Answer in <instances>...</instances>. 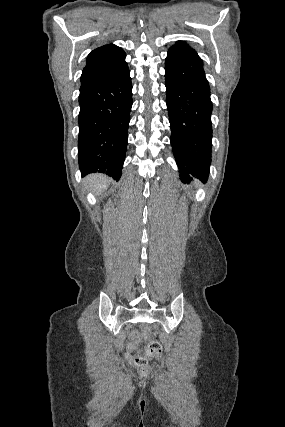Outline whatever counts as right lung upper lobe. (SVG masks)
Returning <instances> with one entry per match:
<instances>
[{
    "instance_id": "1",
    "label": "right lung upper lobe",
    "mask_w": 285,
    "mask_h": 427,
    "mask_svg": "<svg viewBox=\"0 0 285 427\" xmlns=\"http://www.w3.org/2000/svg\"><path fill=\"white\" fill-rule=\"evenodd\" d=\"M125 57L123 49L113 44L93 50L87 57V64L81 75V88L127 72Z\"/></svg>"
}]
</instances>
